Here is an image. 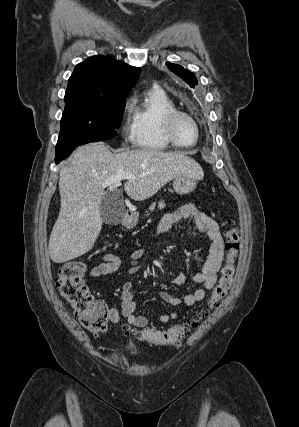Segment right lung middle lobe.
<instances>
[{
  "mask_svg": "<svg viewBox=\"0 0 299 427\" xmlns=\"http://www.w3.org/2000/svg\"><path fill=\"white\" fill-rule=\"evenodd\" d=\"M126 96H81L65 100L56 150L106 140L120 127Z\"/></svg>",
  "mask_w": 299,
  "mask_h": 427,
  "instance_id": "obj_1",
  "label": "right lung middle lobe"
}]
</instances>
